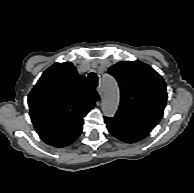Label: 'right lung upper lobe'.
<instances>
[{
    "instance_id": "right-lung-upper-lobe-1",
    "label": "right lung upper lobe",
    "mask_w": 194,
    "mask_h": 193,
    "mask_svg": "<svg viewBox=\"0 0 194 193\" xmlns=\"http://www.w3.org/2000/svg\"><path fill=\"white\" fill-rule=\"evenodd\" d=\"M99 100L71 62L55 63L40 77L28 96L30 117L41 139L71 131Z\"/></svg>"
}]
</instances>
